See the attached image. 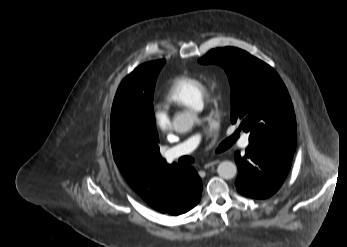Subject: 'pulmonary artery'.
Segmentation results:
<instances>
[{"label": "pulmonary artery", "mask_w": 347, "mask_h": 247, "mask_svg": "<svg viewBox=\"0 0 347 247\" xmlns=\"http://www.w3.org/2000/svg\"><path fill=\"white\" fill-rule=\"evenodd\" d=\"M249 143H250L249 136L244 135L239 142V146L242 148H246L249 145ZM198 144H199V138L196 136L191 137L187 139L186 141L170 148L166 152V157L169 160H173L179 156L187 155L191 153L197 147Z\"/></svg>", "instance_id": "e3ab8cb5"}]
</instances>
